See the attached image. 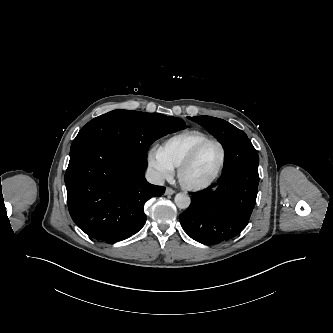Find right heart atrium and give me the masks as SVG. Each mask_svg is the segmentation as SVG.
<instances>
[{
	"instance_id": "right-heart-atrium-1",
	"label": "right heart atrium",
	"mask_w": 333,
	"mask_h": 333,
	"mask_svg": "<svg viewBox=\"0 0 333 333\" xmlns=\"http://www.w3.org/2000/svg\"><path fill=\"white\" fill-rule=\"evenodd\" d=\"M147 166L149 171L158 180H166L174 173L173 165L167 161L157 147H152L147 153Z\"/></svg>"
}]
</instances>
